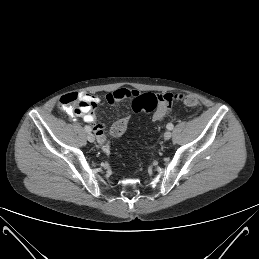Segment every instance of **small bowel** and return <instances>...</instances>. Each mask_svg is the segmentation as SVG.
<instances>
[{
  "instance_id": "1",
  "label": "small bowel",
  "mask_w": 259,
  "mask_h": 259,
  "mask_svg": "<svg viewBox=\"0 0 259 259\" xmlns=\"http://www.w3.org/2000/svg\"><path fill=\"white\" fill-rule=\"evenodd\" d=\"M137 95H139V92L135 89L118 88L112 92H109L105 99L112 105L124 99L134 98ZM158 99V106L152 116L153 121H161L167 116L174 97L173 94L167 92L158 95ZM99 101L100 100L98 97L89 93H70L62 96L59 104L61 109L68 112L71 116L79 117L84 122L91 124L99 144L102 145V149L104 151H107L108 146L104 144L106 140L105 126L98 123L95 117L90 114V111L97 106ZM75 105H79L80 107L74 110Z\"/></svg>"
}]
</instances>
